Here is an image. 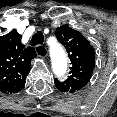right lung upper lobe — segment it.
Segmentation results:
<instances>
[{
  "label": "right lung upper lobe",
  "instance_id": "cb5924a9",
  "mask_svg": "<svg viewBox=\"0 0 117 117\" xmlns=\"http://www.w3.org/2000/svg\"><path fill=\"white\" fill-rule=\"evenodd\" d=\"M21 38L17 30L0 37V91L5 94L23 89L30 61L36 56L34 48L25 47Z\"/></svg>",
  "mask_w": 117,
  "mask_h": 117
}]
</instances>
